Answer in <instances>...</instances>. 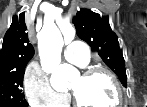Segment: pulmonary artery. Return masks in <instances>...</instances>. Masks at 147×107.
<instances>
[{
    "label": "pulmonary artery",
    "mask_w": 147,
    "mask_h": 107,
    "mask_svg": "<svg viewBox=\"0 0 147 107\" xmlns=\"http://www.w3.org/2000/svg\"><path fill=\"white\" fill-rule=\"evenodd\" d=\"M64 57L72 64L86 66L90 61L89 48L82 42H72L66 47Z\"/></svg>",
    "instance_id": "1"
}]
</instances>
